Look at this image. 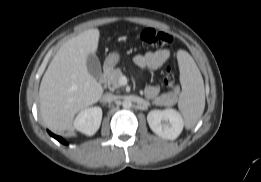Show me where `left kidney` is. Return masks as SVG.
<instances>
[{
    "label": "left kidney",
    "instance_id": "1",
    "mask_svg": "<svg viewBox=\"0 0 261 182\" xmlns=\"http://www.w3.org/2000/svg\"><path fill=\"white\" fill-rule=\"evenodd\" d=\"M147 121L155 134L168 140H175L184 127L181 114L172 108L150 111Z\"/></svg>",
    "mask_w": 261,
    "mask_h": 182
}]
</instances>
